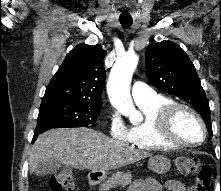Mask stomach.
I'll use <instances>...</instances> for the list:
<instances>
[{
    "label": "stomach",
    "instance_id": "stomach-1",
    "mask_svg": "<svg viewBox=\"0 0 221 191\" xmlns=\"http://www.w3.org/2000/svg\"><path fill=\"white\" fill-rule=\"evenodd\" d=\"M148 167L158 174H164L170 169L171 162L168 158L164 156H152L148 161ZM93 173L98 181H103L106 178V172Z\"/></svg>",
    "mask_w": 221,
    "mask_h": 191
}]
</instances>
